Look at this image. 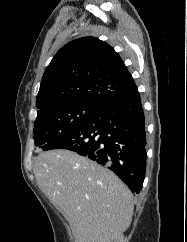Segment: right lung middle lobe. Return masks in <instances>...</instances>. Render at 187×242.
<instances>
[{
    "mask_svg": "<svg viewBox=\"0 0 187 242\" xmlns=\"http://www.w3.org/2000/svg\"><path fill=\"white\" fill-rule=\"evenodd\" d=\"M100 108L101 106L96 104L73 102L38 114L33 131L35 145L44 150L56 140L79 127Z\"/></svg>",
    "mask_w": 187,
    "mask_h": 242,
    "instance_id": "right-lung-middle-lobe-1",
    "label": "right lung middle lobe"
}]
</instances>
